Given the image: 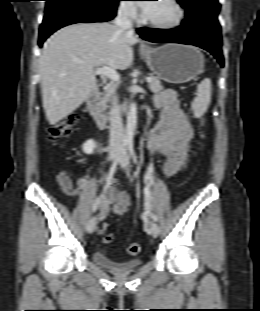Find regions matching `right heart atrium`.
I'll use <instances>...</instances> for the list:
<instances>
[{"label":"right heart atrium","instance_id":"obj_1","mask_svg":"<svg viewBox=\"0 0 260 311\" xmlns=\"http://www.w3.org/2000/svg\"><path fill=\"white\" fill-rule=\"evenodd\" d=\"M122 3L119 6V13L122 14L125 18L135 20L138 18V11L134 4L127 3L130 1H121Z\"/></svg>","mask_w":260,"mask_h":311}]
</instances>
